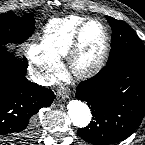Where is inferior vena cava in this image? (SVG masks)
<instances>
[{"mask_svg":"<svg viewBox=\"0 0 145 145\" xmlns=\"http://www.w3.org/2000/svg\"><path fill=\"white\" fill-rule=\"evenodd\" d=\"M33 81L41 86H48L49 82H47V78L41 74H38Z\"/></svg>","mask_w":145,"mask_h":145,"instance_id":"inferior-vena-cava-1","label":"inferior vena cava"}]
</instances>
